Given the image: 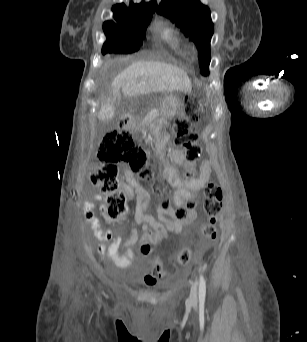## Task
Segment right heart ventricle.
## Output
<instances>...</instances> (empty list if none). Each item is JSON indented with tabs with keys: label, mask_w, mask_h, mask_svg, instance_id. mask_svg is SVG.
I'll return each instance as SVG.
<instances>
[{
	"label": "right heart ventricle",
	"mask_w": 307,
	"mask_h": 342,
	"mask_svg": "<svg viewBox=\"0 0 307 342\" xmlns=\"http://www.w3.org/2000/svg\"><path fill=\"white\" fill-rule=\"evenodd\" d=\"M163 39L168 47L179 54L188 51V42L183 31L170 26L163 32Z\"/></svg>",
	"instance_id": "e07e8e85"
}]
</instances>
